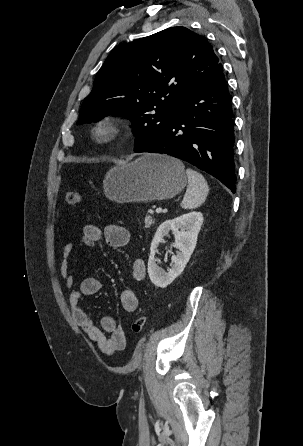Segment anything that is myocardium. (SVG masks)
Masks as SVG:
<instances>
[{"instance_id":"1","label":"myocardium","mask_w":303,"mask_h":446,"mask_svg":"<svg viewBox=\"0 0 303 446\" xmlns=\"http://www.w3.org/2000/svg\"><path fill=\"white\" fill-rule=\"evenodd\" d=\"M121 123L112 115H103L93 123L90 136L92 141L100 146L115 142L122 134Z\"/></svg>"}]
</instances>
